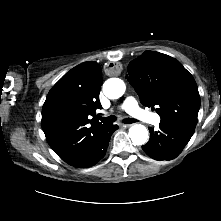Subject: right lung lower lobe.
<instances>
[{"label": "right lung lower lobe", "instance_id": "right-lung-lower-lobe-1", "mask_svg": "<svg viewBox=\"0 0 221 221\" xmlns=\"http://www.w3.org/2000/svg\"><path fill=\"white\" fill-rule=\"evenodd\" d=\"M117 129V125L107 124L103 129L95 133L82 149L64 161L78 168L95 165L104 157L111 135Z\"/></svg>", "mask_w": 221, "mask_h": 221}]
</instances>
